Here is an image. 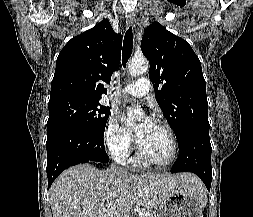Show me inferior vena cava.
I'll return each instance as SVG.
<instances>
[{
	"instance_id": "1",
	"label": "inferior vena cava",
	"mask_w": 253,
	"mask_h": 217,
	"mask_svg": "<svg viewBox=\"0 0 253 217\" xmlns=\"http://www.w3.org/2000/svg\"><path fill=\"white\" fill-rule=\"evenodd\" d=\"M110 170L115 172V173H121V174H127L128 170L122 167L116 166L114 163L111 164Z\"/></svg>"
}]
</instances>
